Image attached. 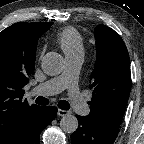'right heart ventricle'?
I'll return each instance as SVG.
<instances>
[{
	"label": "right heart ventricle",
	"instance_id": "e07e8e85",
	"mask_svg": "<svg viewBox=\"0 0 144 144\" xmlns=\"http://www.w3.org/2000/svg\"><path fill=\"white\" fill-rule=\"evenodd\" d=\"M56 39L66 57L83 54V38L74 27L63 28L58 32Z\"/></svg>",
	"mask_w": 144,
	"mask_h": 144
}]
</instances>
